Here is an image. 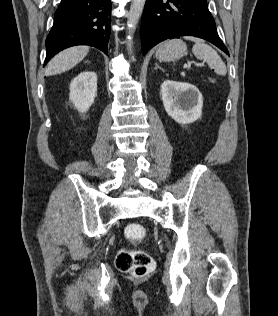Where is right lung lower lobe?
I'll use <instances>...</instances> for the list:
<instances>
[{
  "label": "right lung lower lobe",
  "mask_w": 278,
  "mask_h": 316,
  "mask_svg": "<svg viewBox=\"0 0 278 316\" xmlns=\"http://www.w3.org/2000/svg\"><path fill=\"white\" fill-rule=\"evenodd\" d=\"M111 23L110 0H61L46 39L44 66L59 51L90 45L108 54Z\"/></svg>",
  "instance_id": "right-lung-lower-lobe-1"
}]
</instances>
